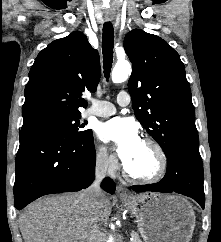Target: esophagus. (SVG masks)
Segmentation results:
<instances>
[{
	"label": "esophagus",
	"mask_w": 221,
	"mask_h": 242,
	"mask_svg": "<svg viewBox=\"0 0 221 242\" xmlns=\"http://www.w3.org/2000/svg\"><path fill=\"white\" fill-rule=\"evenodd\" d=\"M113 19L112 18H107V21H112ZM117 195L119 197H123V198H127V197H130V194L129 192L127 191V189L125 187H123L122 185H119L118 186V189H117Z\"/></svg>",
	"instance_id": "esophagus-1"
}]
</instances>
